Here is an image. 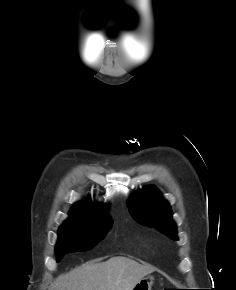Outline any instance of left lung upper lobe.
Segmentation results:
<instances>
[{
  "instance_id": "1",
  "label": "left lung upper lobe",
  "mask_w": 236,
  "mask_h": 290,
  "mask_svg": "<svg viewBox=\"0 0 236 290\" xmlns=\"http://www.w3.org/2000/svg\"><path fill=\"white\" fill-rule=\"evenodd\" d=\"M131 215L140 223L154 226L173 240H177L176 225L167 201L154 187L135 193L128 203Z\"/></svg>"
}]
</instances>
